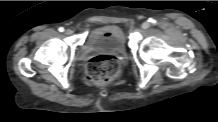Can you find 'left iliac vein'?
<instances>
[{"mask_svg": "<svg viewBox=\"0 0 218 122\" xmlns=\"http://www.w3.org/2000/svg\"><path fill=\"white\" fill-rule=\"evenodd\" d=\"M143 29H147L150 27V23L149 22H144L141 26Z\"/></svg>", "mask_w": 218, "mask_h": 122, "instance_id": "left-iliac-vein-1", "label": "left iliac vein"}]
</instances>
